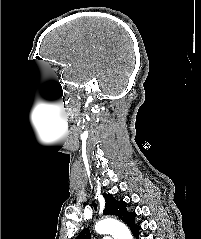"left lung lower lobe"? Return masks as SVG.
Segmentation results:
<instances>
[{
    "instance_id": "left-lung-lower-lobe-1",
    "label": "left lung lower lobe",
    "mask_w": 201,
    "mask_h": 239,
    "mask_svg": "<svg viewBox=\"0 0 201 239\" xmlns=\"http://www.w3.org/2000/svg\"><path fill=\"white\" fill-rule=\"evenodd\" d=\"M141 229V227L139 225H135L131 231L133 233V235L136 237V239H138V231Z\"/></svg>"
}]
</instances>
